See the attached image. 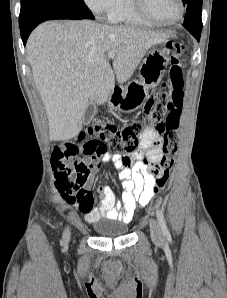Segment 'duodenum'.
<instances>
[{"label":"duodenum","mask_w":227,"mask_h":298,"mask_svg":"<svg viewBox=\"0 0 227 298\" xmlns=\"http://www.w3.org/2000/svg\"><path fill=\"white\" fill-rule=\"evenodd\" d=\"M112 93L113 95H117L120 93V89L118 87H114Z\"/></svg>","instance_id":"obj_1"}]
</instances>
